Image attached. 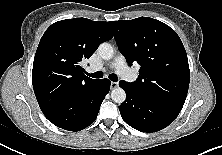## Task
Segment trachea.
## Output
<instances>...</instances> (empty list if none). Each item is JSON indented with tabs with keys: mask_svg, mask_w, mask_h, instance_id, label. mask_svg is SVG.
<instances>
[{
	"mask_svg": "<svg viewBox=\"0 0 222 155\" xmlns=\"http://www.w3.org/2000/svg\"><path fill=\"white\" fill-rule=\"evenodd\" d=\"M87 75L90 76V77H92V78H96V79L103 77V73H102L101 71H97V72H95V73H93V74H89V73H88ZM109 79L112 80V81H114V82H117L118 77H117L115 74H110V75H109Z\"/></svg>",
	"mask_w": 222,
	"mask_h": 155,
	"instance_id": "1",
	"label": "trachea"
}]
</instances>
